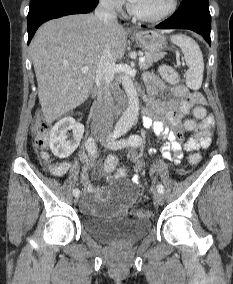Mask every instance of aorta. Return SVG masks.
Masks as SVG:
<instances>
[{
    "label": "aorta",
    "mask_w": 233,
    "mask_h": 284,
    "mask_svg": "<svg viewBox=\"0 0 233 284\" xmlns=\"http://www.w3.org/2000/svg\"><path fill=\"white\" fill-rule=\"evenodd\" d=\"M123 89L128 97V107L119 119L117 126L128 130L137 120L139 115V99L133 80L129 75H123L121 78Z\"/></svg>",
    "instance_id": "762f6f07"
}]
</instances>
